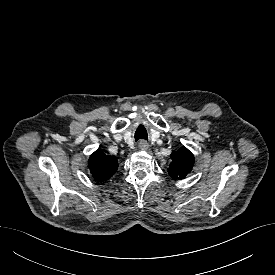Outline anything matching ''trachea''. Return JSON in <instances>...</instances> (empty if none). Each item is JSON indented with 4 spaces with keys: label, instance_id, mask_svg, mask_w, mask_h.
Here are the masks:
<instances>
[{
    "label": "trachea",
    "instance_id": "3493384b",
    "mask_svg": "<svg viewBox=\"0 0 275 275\" xmlns=\"http://www.w3.org/2000/svg\"><path fill=\"white\" fill-rule=\"evenodd\" d=\"M139 139L148 140L147 131L143 126H139L135 132V141H138Z\"/></svg>",
    "mask_w": 275,
    "mask_h": 275
}]
</instances>
